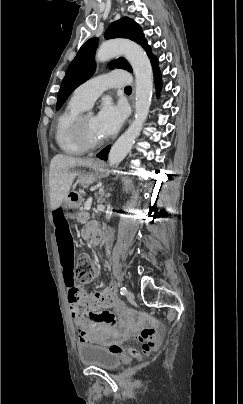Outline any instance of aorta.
Segmentation results:
<instances>
[{
  "mask_svg": "<svg viewBox=\"0 0 243 404\" xmlns=\"http://www.w3.org/2000/svg\"><path fill=\"white\" fill-rule=\"evenodd\" d=\"M116 56H125L135 74V116L126 132L113 144L108 156L110 166H118L131 152L132 146L147 120L153 90L150 60L138 44L131 40H108L99 46L95 60L96 62H107Z\"/></svg>",
  "mask_w": 243,
  "mask_h": 404,
  "instance_id": "1",
  "label": "aorta"
}]
</instances>
